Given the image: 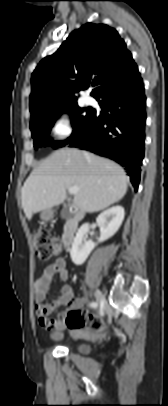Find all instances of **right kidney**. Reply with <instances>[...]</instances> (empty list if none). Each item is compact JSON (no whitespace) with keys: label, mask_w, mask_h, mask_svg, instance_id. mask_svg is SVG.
<instances>
[{"label":"right kidney","mask_w":168,"mask_h":406,"mask_svg":"<svg viewBox=\"0 0 168 406\" xmlns=\"http://www.w3.org/2000/svg\"><path fill=\"white\" fill-rule=\"evenodd\" d=\"M125 212L122 206H114L102 212L97 218V224L100 228V237L97 243H101L112 237L120 228L124 220ZM89 225H82L74 238L70 256L72 262L76 265H82L97 243L87 240Z\"/></svg>","instance_id":"right-kidney-1"}]
</instances>
